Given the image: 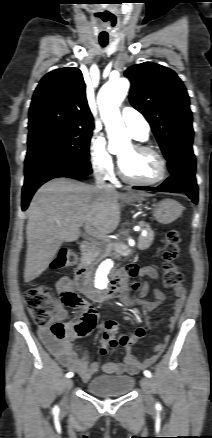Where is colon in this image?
I'll use <instances>...</instances> for the list:
<instances>
[{"mask_svg": "<svg viewBox=\"0 0 212 438\" xmlns=\"http://www.w3.org/2000/svg\"><path fill=\"white\" fill-rule=\"evenodd\" d=\"M180 241V233L177 230L171 229L166 233L162 251V270L163 282L167 287H175L183 282V274L176 262L180 255ZM76 262L77 256L74 251L62 249L54 258L51 267L63 269L73 266ZM60 298L67 306H72L79 301V297L73 290L64 291ZM25 303L35 324L48 328L59 340L84 336L88 332L84 324H78L69 331L62 322L55 320L56 301L51 290L46 286L39 285L27 290Z\"/></svg>", "mask_w": 212, "mask_h": 438, "instance_id": "5ec220e1", "label": "colon"}]
</instances>
